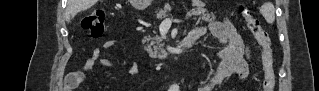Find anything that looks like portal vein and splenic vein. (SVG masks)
I'll return each instance as SVG.
<instances>
[{"label": "portal vein and splenic vein", "mask_w": 319, "mask_h": 91, "mask_svg": "<svg viewBox=\"0 0 319 91\" xmlns=\"http://www.w3.org/2000/svg\"><path fill=\"white\" fill-rule=\"evenodd\" d=\"M167 22H169V23H172V22H177L178 20H173V19H171V18H166L165 19Z\"/></svg>", "instance_id": "18ae733b"}]
</instances>
